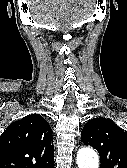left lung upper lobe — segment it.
<instances>
[{
  "mask_svg": "<svg viewBox=\"0 0 127 168\" xmlns=\"http://www.w3.org/2000/svg\"><path fill=\"white\" fill-rule=\"evenodd\" d=\"M81 141L100 154V168H127V133L109 118L89 120L81 131Z\"/></svg>",
  "mask_w": 127,
  "mask_h": 168,
  "instance_id": "1",
  "label": "left lung upper lobe"
}]
</instances>
